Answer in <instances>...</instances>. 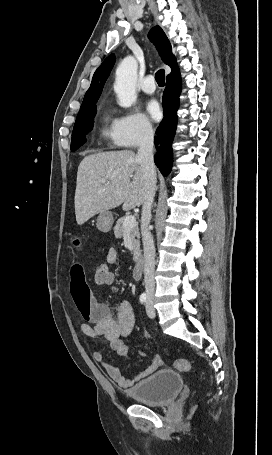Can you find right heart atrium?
I'll list each match as a JSON object with an SVG mask.
<instances>
[{
    "mask_svg": "<svg viewBox=\"0 0 272 455\" xmlns=\"http://www.w3.org/2000/svg\"><path fill=\"white\" fill-rule=\"evenodd\" d=\"M115 141L118 146L134 148L148 142L153 137L150 120L142 113L127 111L113 121Z\"/></svg>",
    "mask_w": 272,
    "mask_h": 455,
    "instance_id": "right-heart-atrium-1",
    "label": "right heart atrium"
}]
</instances>
